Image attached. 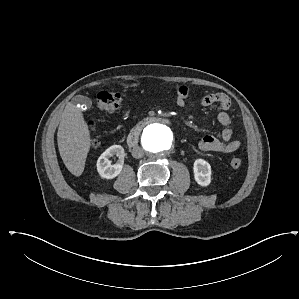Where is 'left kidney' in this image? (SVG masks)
<instances>
[{
    "mask_svg": "<svg viewBox=\"0 0 299 299\" xmlns=\"http://www.w3.org/2000/svg\"><path fill=\"white\" fill-rule=\"evenodd\" d=\"M195 181L203 187L211 183V166L204 159H196L193 165Z\"/></svg>",
    "mask_w": 299,
    "mask_h": 299,
    "instance_id": "5707ae66",
    "label": "left kidney"
}]
</instances>
